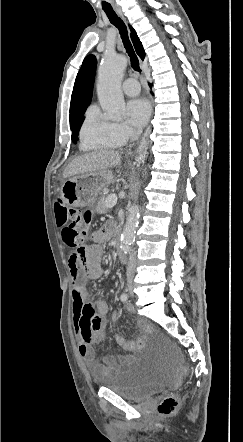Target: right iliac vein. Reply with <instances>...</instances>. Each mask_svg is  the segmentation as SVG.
<instances>
[{
	"label": "right iliac vein",
	"instance_id": "1",
	"mask_svg": "<svg viewBox=\"0 0 243 442\" xmlns=\"http://www.w3.org/2000/svg\"><path fill=\"white\" fill-rule=\"evenodd\" d=\"M127 290L131 293L132 290H133V285H132V284H129Z\"/></svg>",
	"mask_w": 243,
	"mask_h": 442
}]
</instances>
